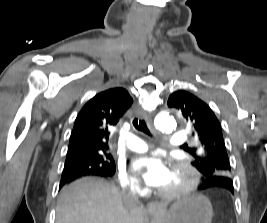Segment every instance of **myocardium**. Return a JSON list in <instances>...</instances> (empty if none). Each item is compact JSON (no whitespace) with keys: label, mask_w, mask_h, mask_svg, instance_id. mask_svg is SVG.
<instances>
[{"label":"myocardium","mask_w":267,"mask_h":223,"mask_svg":"<svg viewBox=\"0 0 267 223\" xmlns=\"http://www.w3.org/2000/svg\"><path fill=\"white\" fill-rule=\"evenodd\" d=\"M173 174H184L187 177L185 185L171 190H162L160 193L169 199L179 198L192 194L198 187L200 175L189 163L179 160L173 166Z\"/></svg>","instance_id":"obj_1"}]
</instances>
